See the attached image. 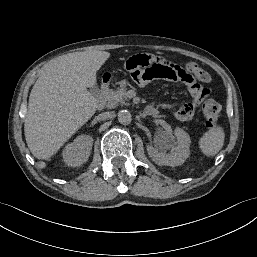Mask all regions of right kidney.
<instances>
[{"label":"right kidney","instance_id":"obj_1","mask_svg":"<svg viewBox=\"0 0 257 257\" xmlns=\"http://www.w3.org/2000/svg\"><path fill=\"white\" fill-rule=\"evenodd\" d=\"M93 138L89 135L78 136L63 150L64 162L71 167H77L85 163L92 150Z\"/></svg>","mask_w":257,"mask_h":257}]
</instances>
